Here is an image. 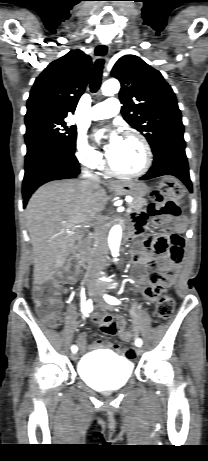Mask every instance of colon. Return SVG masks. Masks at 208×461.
Wrapping results in <instances>:
<instances>
[{"label":"colon","mask_w":208,"mask_h":461,"mask_svg":"<svg viewBox=\"0 0 208 461\" xmlns=\"http://www.w3.org/2000/svg\"><path fill=\"white\" fill-rule=\"evenodd\" d=\"M181 192L177 181L165 178L160 182L159 187L152 193V202L148 209L153 218L178 219L180 210L174 198ZM59 285L55 281H48L36 285L33 289V302L39 314L45 319L48 325L55 326L57 321V310L59 307ZM175 300L169 294L160 297L157 304V315L162 320H170L174 314ZM125 357L133 360L137 357L136 349L126 347L123 349Z\"/></svg>","instance_id":"5ec220e1"}]
</instances>
